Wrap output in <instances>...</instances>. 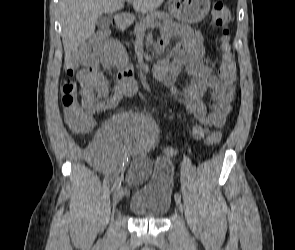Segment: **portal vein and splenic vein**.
<instances>
[{
    "label": "portal vein and splenic vein",
    "mask_w": 295,
    "mask_h": 250,
    "mask_svg": "<svg viewBox=\"0 0 295 250\" xmlns=\"http://www.w3.org/2000/svg\"><path fill=\"white\" fill-rule=\"evenodd\" d=\"M127 2L128 3H131V2H133V0H127ZM158 24H157V22H151L150 24H149V26H151V27H156Z\"/></svg>",
    "instance_id": "18ae733b"
}]
</instances>
